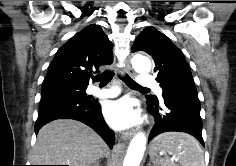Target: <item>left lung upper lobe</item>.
Returning a JSON list of instances; mask_svg holds the SVG:
<instances>
[{
    "label": "left lung upper lobe",
    "instance_id": "left-lung-upper-lobe-1",
    "mask_svg": "<svg viewBox=\"0 0 236 166\" xmlns=\"http://www.w3.org/2000/svg\"><path fill=\"white\" fill-rule=\"evenodd\" d=\"M145 51L155 62L156 80L162 89L173 85L195 86L183 53L164 34L147 27L136 39L132 52ZM149 100L156 97H148ZM158 101V100H157Z\"/></svg>",
    "mask_w": 236,
    "mask_h": 166
}]
</instances>
